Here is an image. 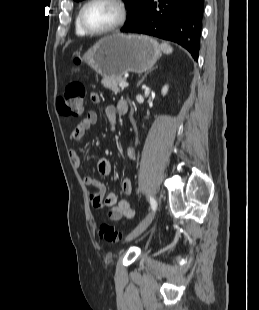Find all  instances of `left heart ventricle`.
<instances>
[{"instance_id":"1","label":"left heart ventricle","mask_w":259,"mask_h":310,"mask_svg":"<svg viewBox=\"0 0 259 310\" xmlns=\"http://www.w3.org/2000/svg\"><path fill=\"white\" fill-rule=\"evenodd\" d=\"M117 7L105 0H99L90 4L84 11V21L93 30H102L118 19Z\"/></svg>"}]
</instances>
